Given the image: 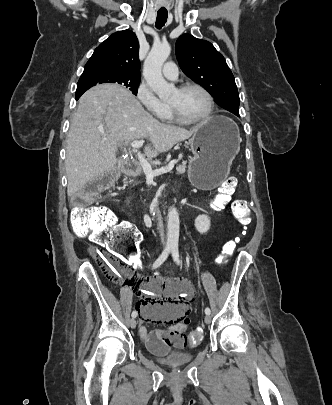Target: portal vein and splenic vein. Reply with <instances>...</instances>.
<instances>
[{"mask_svg": "<svg viewBox=\"0 0 332 405\" xmlns=\"http://www.w3.org/2000/svg\"><path fill=\"white\" fill-rule=\"evenodd\" d=\"M143 144H144L143 140H136L131 142V147L134 150H137L138 148L143 146ZM137 157L140 161V164L143 168V172L145 173L147 180H153L154 177L166 173L168 169H172L174 165L177 163V161L174 160L166 168L163 167L153 170L150 163L143 157V155L140 152L137 153Z\"/></svg>", "mask_w": 332, "mask_h": 405, "instance_id": "portal-vein-and-splenic-vein-1", "label": "portal vein and splenic vein"}]
</instances>
